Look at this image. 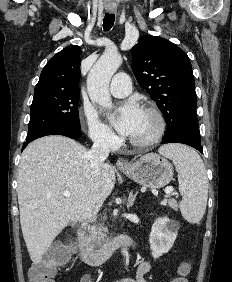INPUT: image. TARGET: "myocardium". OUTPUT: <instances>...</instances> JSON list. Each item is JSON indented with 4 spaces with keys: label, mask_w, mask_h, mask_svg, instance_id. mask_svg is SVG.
Returning <instances> with one entry per match:
<instances>
[{
    "label": "myocardium",
    "mask_w": 232,
    "mask_h": 282,
    "mask_svg": "<svg viewBox=\"0 0 232 282\" xmlns=\"http://www.w3.org/2000/svg\"><path fill=\"white\" fill-rule=\"evenodd\" d=\"M144 111L150 114L156 121V129L154 133L143 140L129 139V143L138 148H145L152 146L159 142L166 130V120L163 113L154 105L147 104L144 106Z\"/></svg>",
    "instance_id": "f54148a6"
}]
</instances>
